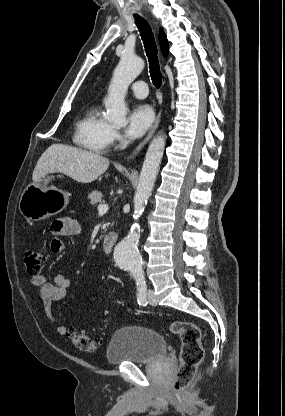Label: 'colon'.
Wrapping results in <instances>:
<instances>
[{
  "instance_id": "colon-1",
  "label": "colon",
  "mask_w": 285,
  "mask_h": 416,
  "mask_svg": "<svg viewBox=\"0 0 285 416\" xmlns=\"http://www.w3.org/2000/svg\"><path fill=\"white\" fill-rule=\"evenodd\" d=\"M45 260V255L36 250H28L24 254L27 272L33 277L41 273ZM169 329L181 339L180 366L172 386V396L179 406H187L190 402L189 388L204 356L201 331L195 323L187 321H174ZM67 336L80 351L95 353L99 348L98 340L91 338L84 331L70 330Z\"/></svg>"
}]
</instances>
